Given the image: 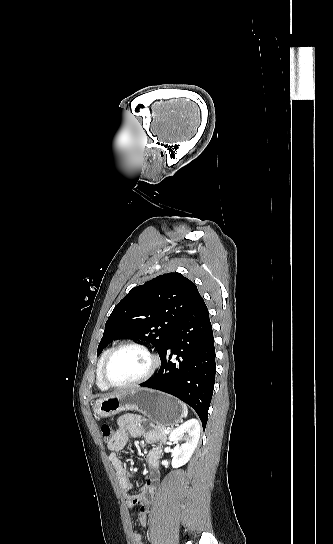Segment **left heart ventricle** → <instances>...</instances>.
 <instances>
[{
    "label": "left heart ventricle",
    "instance_id": "obj_1",
    "mask_svg": "<svg viewBox=\"0 0 333 544\" xmlns=\"http://www.w3.org/2000/svg\"><path fill=\"white\" fill-rule=\"evenodd\" d=\"M149 367L145 353L134 348L118 351L109 363L107 376L115 384H123L141 377Z\"/></svg>",
    "mask_w": 333,
    "mask_h": 544
}]
</instances>
